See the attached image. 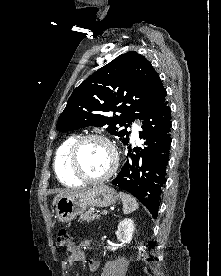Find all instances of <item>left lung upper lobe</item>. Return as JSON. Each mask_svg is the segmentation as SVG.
<instances>
[{"mask_svg": "<svg viewBox=\"0 0 221 276\" xmlns=\"http://www.w3.org/2000/svg\"><path fill=\"white\" fill-rule=\"evenodd\" d=\"M166 95L151 63L141 54L129 51L97 70L73 91L56 128L71 131L88 126L106 127L127 145L129 133L121 127L147 118L165 101Z\"/></svg>", "mask_w": 221, "mask_h": 276, "instance_id": "5c2ea615", "label": "left lung upper lobe"}]
</instances>
